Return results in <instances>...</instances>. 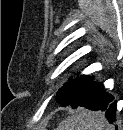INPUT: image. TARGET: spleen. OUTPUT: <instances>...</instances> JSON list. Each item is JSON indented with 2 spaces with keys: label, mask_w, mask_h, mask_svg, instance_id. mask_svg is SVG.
Masks as SVG:
<instances>
[{
  "label": "spleen",
  "mask_w": 123,
  "mask_h": 130,
  "mask_svg": "<svg viewBox=\"0 0 123 130\" xmlns=\"http://www.w3.org/2000/svg\"><path fill=\"white\" fill-rule=\"evenodd\" d=\"M57 130H108V127L101 115L81 108L63 120Z\"/></svg>",
  "instance_id": "obj_1"
}]
</instances>
